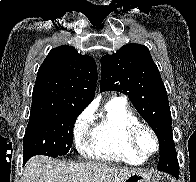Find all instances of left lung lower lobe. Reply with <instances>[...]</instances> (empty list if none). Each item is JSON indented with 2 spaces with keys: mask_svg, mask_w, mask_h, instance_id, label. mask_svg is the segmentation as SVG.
I'll return each instance as SVG.
<instances>
[{
  "mask_svg": "<svg viewBox=\"0 0 196 182\" xmlns=\"http://www.w3.org/2000/svg\"><path fill=\"white\" fill-rule=\"evenodd\" d=\"M160 159L161 161H174L176 159V153L170 149H162L160 151ZM175 177L178 178V175Z\"/></svg>",
  "mask_w": 196,
  "mask_h": 182,
  "instance_id": "left-lung-lower-lobe-1",
  "label": "left lung lower lobe"
}]
</instances>
